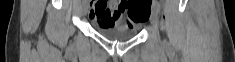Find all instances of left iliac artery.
Instances as JSON below:
<instances>
[{"mask_svg":"<svg viewBox=\"0 0 235 62\" xmlns=\"http://www.w3.org/2000/svg\"><path fill=\"white\" fill-rule=\"evenodd\" d=\"M154 9L156 10L157 13L160 12V5H159V3H157V2L154 3Z\"/></svg>","mask_w":235,"mask_h":62,"instance_id":"44dca946","label":"left iliac artery"}]
</instances>
